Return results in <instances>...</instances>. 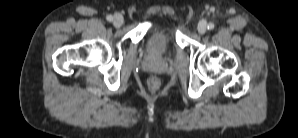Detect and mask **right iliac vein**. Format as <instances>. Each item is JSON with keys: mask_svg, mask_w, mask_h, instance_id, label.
Wrapping results in <instances>:
<instances>
[{"mask_svg": "<svg viewBox=\"0 0 298 138\" xmlns=\"http://www.w3.org/2000/svg\"><path fill=\"white\" fill-rule=\"evenodd\" d=\"M123 22H124V19H123L122 15H120V14H116V15L114 16V18H113V25H114L115 27H120V26H122Z\"/></svg>", "mask_w": 298, "mask_h": 138, "instance_id": "right-iliac-vein-1", "label": "right iliac vein"}]
</instances>
